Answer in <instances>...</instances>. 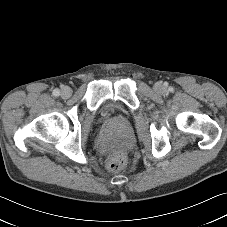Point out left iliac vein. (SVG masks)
I'll return each instance as SVG.
<instances>
[{
	"label": "left iliac vein",
	"mask_w": 227,
	"mask_h": 227,
	"mask_svg": "<svg viewBox=\"0 0 227 227\" xmlns=\"http://www.w3.org/2000/svg\"><path fill=\"white\" fill-rule=\"evenodd\" d=\"M155 90L158 91V92H162L163 91V87L160 84H156Z\"/></svg>",
	"instance_id": "4c4485c4"
}]
</instances>
